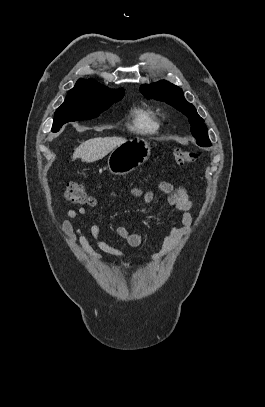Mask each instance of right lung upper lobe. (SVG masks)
Returning <instances> with one entry per match:
<instances>
[{
	"label": "right lung upper lobe",
	"mask_w": 265,
	"mask_h": 407,
	"mask_svg": "<svg viewBox=\"0 0 265 407\" xmlns=\"http://www.w3.org/2000/svg\"><path fill=\"white\" fill-rule=\"evenodd\" d=\"M79 82H88V83L98 84L97 82H95V81H93V80H84V79H79V80L77 81V83H79ZM98 85H100V84H98Z\"/></svg>",
	"instance_id": "1"
}]
</instances>
